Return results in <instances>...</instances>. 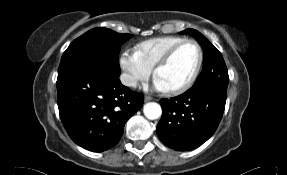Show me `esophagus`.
Returning <instances> with one entry per match:
<instances>
[{
  "instance_id": "1",
  "label": "esophagus",
  "mask_w": 287,
  "mask_h": 175,
  "mask_svg": "<svg viewBox=\"0 0 287 175\" xmlns=\"http://www.w3.org/2000/svg\"><path fill=\"white\" fill-rule=\"evenodd\" d=\"M153 98L151 97V96H148V95H146L145 96V101L147 102V101H151Z\"/></svg>"
}]
</instances>
